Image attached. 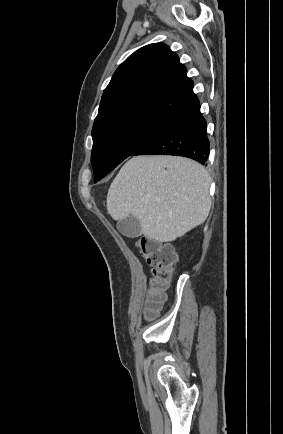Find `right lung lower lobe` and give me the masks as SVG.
I'll return each mask as SVG.
<instances>
[{
	"instance_id": "1",
	"label": "right lung lower lobe",
	"mask_w": 283,
	"mask_h": 434,
	"mask_svg": "<svg viewBox=\"0 0 283 434\" xmlns=\"http://www.w3.org/2000/svg\"><path fill=\"white\" fill-rule=\"evenodd\" d=\"M207 123L200 112V104L172 119L163 129L144 142L131 156L175 155L204 164L209 156Z\"/></svg>"
}]
</instances>
